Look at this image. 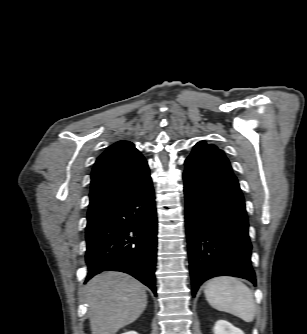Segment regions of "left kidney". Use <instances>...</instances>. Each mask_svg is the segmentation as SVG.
<instances>
[{
    "mask_svg": "<svg viewBox=\"0 0 307 334\" xmlns=\"http://www.w3.org/2000/svg\"><path fill=\"white\" fill-rule=\"evenodd\" d=\"M214 334H244V332L225 320H218L214 325Z\"/></svg>",
    "mask_w": 307,
    "mask_h": 334,
    "instance_id": "left-kidney-1",
    "label": "left kidney"
}]
</instances>
